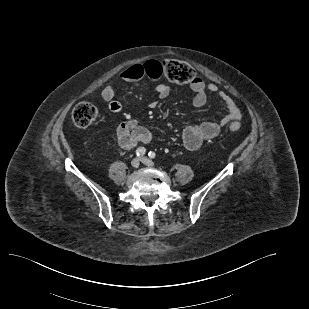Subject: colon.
<instances>
[{
  "label": "colon",
  "mask_w": 309,
  "mask_h": 309,
  "mask_svg": "<svg viewBox=\"0 0 309 309\" xmlns=\"http://www.w3.org/2000/svg\"><path fill=\"white\" fill-rule=\"evenodd\" d=\"M151 66H156L160 74L177 84H192L198 76L191 65L180 60H165L163 62L151 61ZM97 117L96 107L89 102H80L72 111V120L77 127L85 128L91 125ZM239 122H232L229 129L233 132L240 130Z\"/></svg>",
  "instance_id": "1"
}]
</instances>
